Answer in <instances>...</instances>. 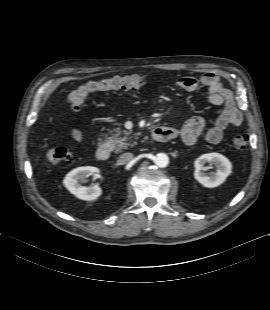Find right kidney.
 Returning a JSON list of instances; mask_svg holds the SVG:
<instances>
[{"mask_svg":"<svg viewBox=\"0 0 270 310\" xmlns=\"http://www.w3.org/2000/svg\"><path fill=\"white\" fill-rule=\"evenodd\" d=\"M99 169L91 166L78 167L70 171L63 180L64 186L77 198L92 201L97 199L101 194L102 190L99 185H93L90 187L82 186L80 181L85 177L92 174L98 176Z\"/></svg>","mask_w":270,"mask_h":310,"instance_id":"obj_1","label":"right kidney"}]
</instances>
